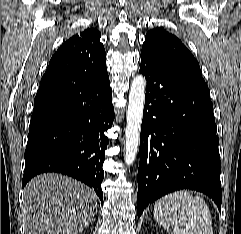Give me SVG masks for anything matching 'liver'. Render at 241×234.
I'll list each match as a JSON object with an SVG mask.
<instances>
[{"label":"liver","instance_id":"1","mask_svg":"<svg viewBox=\"0 0 241 234\" xmlns=\"http://www.w3.org/2000/svg\"><path fill=\"white\" fill-rule=\"evenodd\" d=\"M97 209L94 190L67 176L41 174L24 189L27 234H78L93 220Z\"/></svg>","mask_w":241,"mask_h":234}]
</instances>
